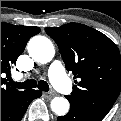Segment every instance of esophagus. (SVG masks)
<instances>
[{
	"instance_id": "esophagus-1",
	"label": "esophagus",
	"mask_w": 121,
	"mask_h": 121,
	"mask_svg": "<svg viewBox=\"0 0 121 121\" xmlns=\"http://www.w3.org/2000/svg\"><path fill=\"white\" fill-rule=\"evenodd\" d=\"M44 95H45L47 98H52V97H54V93H52V92H45Z\"/></svg>"
}]
</instances>
